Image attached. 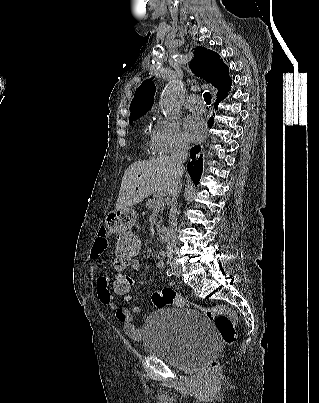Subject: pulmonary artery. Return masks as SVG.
Listing matches in <instances>:
<instances>
[{
    "mask_svg": "<svg viewBox=\"0 0 319 403\" xmlns=\"http://www.w3.org/2000/svg\"><path fill=\"white\" fill-rule=\"evenodd\" d=\"M186 106L192 111H203L205 104L203 99L199 95H191L186 101Z\"/></svg>",
    "mask_w": 319,
    "mask_h": 403,
    "instance_id": "1",
    "label": "pulmonary artery"
}]
</instances>
